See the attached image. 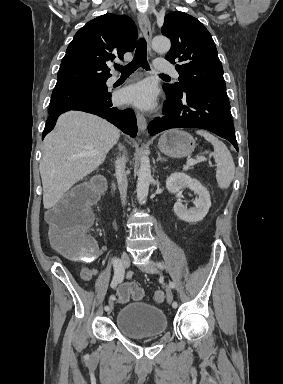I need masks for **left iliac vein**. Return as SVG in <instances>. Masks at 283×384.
<instances>
[{
    "instance_id": "obj_1",
    "label": "left iliac vein",
    "mask_w": 283,
    "mask_h": 384,
    "mask_svg": "<svg viewBox=\"0 0 283 384\" xmlns=\"http://www.w3.org/2000/svg\"><path fill=\"white\" fill-rule=\"evenodd\" d=\"M142 270L150 274L158 273V269L156 268V266L152 264H147L143 266ZM166 293H167V301L170 303L172 301L173 295L168 285L166 286Z\"/></svg>"
}]
</instances>
